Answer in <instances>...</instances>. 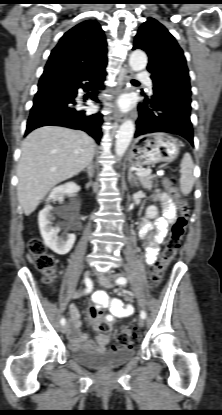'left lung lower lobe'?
<instances>
[{
    "instance_id": "obj_1",
    "label": "left lung lower lobe",
    "mask_w": 222,
    "mask_h": 415,
    "mask_svg": "<svg viewBox=\"0 0 222 415\" xmlns=\"http://www.w3.org/2000/svg\"><path fill=\"white\" fill-rule=\"evenodd\" d=\"M152 80L153 95L151 98L144 95V102L138 106L139 117L134 137L167 132L180 135L193 145L189 75L166 72Z\"/></svg>"
}]
</instances>
